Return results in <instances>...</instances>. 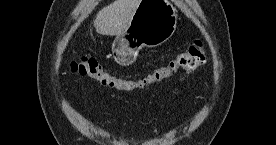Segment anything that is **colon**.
Returning a JSON list of instances; mask_svg holds the SVG:
<instances>
[{
    "instance_id": "1",
    "label": "colon",
    "mask_w": 276,
    "mask_h": 145,
    "mask_svg": "<svg viewBox=\"0 0 276 145\" xmlns=\"http://www.w3.org/2000/svg\"><path fill=\"white\" fill-rule=\"evenodd\" d=\"M205 61L206 52L202 43L196 40L186 51L178 54L168 64L156 69L146 79L138 82L123 78L107 70L96 59L89 57H82L71 62V70L75 74L93 80L102 86L129 92L147 84L162 82L178 73L195 70L202 66Z\"/></svg>"
}]
</instances>
